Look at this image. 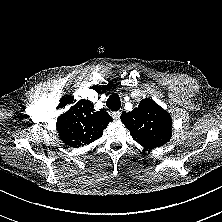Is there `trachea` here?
Masks as SVG:
<instances>
[{
  "label": "trachea",
  "mask_w": 222,
  "mask_h": 222,
  "mask_svg": "<svg viewBox=\"0 0 222 222\" xmlns=\"http://www.w3.org/2000/svg\"><path fill=\"white\" fill-rule=\"evenodd\" d=\"M106 105L112 111L119 110L121 107L119 95L116 93L110 95V97L107 99Z\"/></svg>",
  "instance_id": "trachea-1"
}]
</instances>
